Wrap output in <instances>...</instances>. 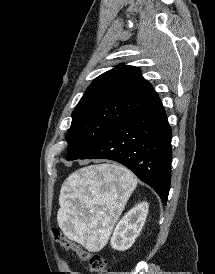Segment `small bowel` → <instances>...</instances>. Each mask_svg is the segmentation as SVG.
I'll use <instances>...</instances> for the list:
<instances>
[{
	"instance_id": "small-bowel-1",
	"label": "small bowel",
	"mask_w": 215,
	"mask_h": 274,
	"mask_svg": "<svg viewBox=\"0 0 215 274\" xmlns=\"http://www.w3.org/2000/svg\"><path fill=\"white\" fill-rule=\"evenodd\" d=\"M64 265H65L66 268L68 267L66 263H64ZM72 274H81V273H79V272H74V273H72Z\"/></svg>"
}]
</instances>
